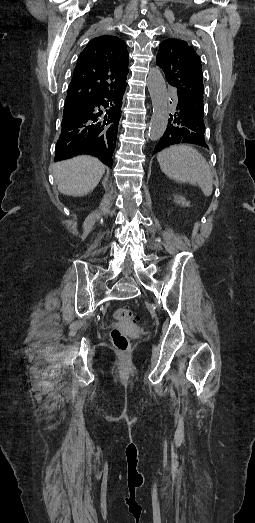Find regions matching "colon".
Returning a JSON list of instances; mask_svg holds the SVG:
<instances>
[{
  "label": "colon",
  "mask_w": 255,
  "mask_h": 523,
  "mask_svg": "<svg viewBox=\"0 0 255 523\" xmlns=\"http://www.w3.org/2000/svg\"><path fill=\"white\" fill-rule=\"evenodd\" d=\"M114 316L117 320L123 321V322H136L138 320V318L135 317L133 312L127 307L118 308L114 312ZM111 340H112L114 347L120 353L125 354L129 351L130 342H129L127 335L124 333V331L122 329L114 328L111 331Z\"/></svg>",
  "instance_id": "colon-1"
}]
</instances>
